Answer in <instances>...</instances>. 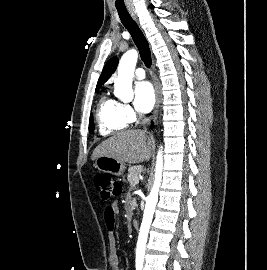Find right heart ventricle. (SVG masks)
<instances>
[{
  "instance_id": "1",
  "label": "right heart ventricle",
  "mask_w": 267,
  "mask_h": 270,
  "mask_svg": "<svg viewBox=\"0 0 267 270\" xmlns=\"http://www.w3.org/2000/svg\"><path fill=\"white\" fill-rule=\"evenodd\" d=\"M97 123L99 133L108 136L128 127V121L123 117L120 103L103 95L97 106Z\"/></svg>"
}]
</instances>
